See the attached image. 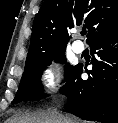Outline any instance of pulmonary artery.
<instances>
[{"label": "pulmonary artery", "mask_w": 118, "mask_h": 123, "mask_svg": "<svg viewBox=\"0 0 118 123\" xmlns=\"http://www.w3.org/2000/svg\"><path fill=\"white\" fill-rule=\"evenodd\" d=\"M72 49L75 53L81 54L85 50V45L81 41H75L72 45Z\"/></svg>", "instance_id": "1"}]
</instances>
